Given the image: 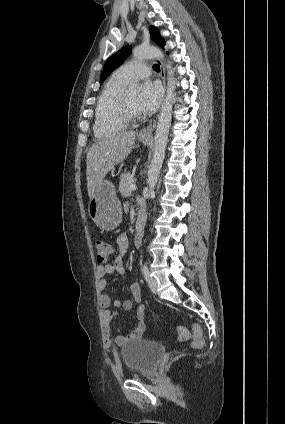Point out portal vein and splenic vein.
I'll return each mask as SVG.
<instances>
[{"instance_id": "portal-vein-and-splenic-vein-1", "label": "portal vein and splenic vein", "mask_w": 285, "mask_h": 424, "mask_svg": "<svg viewBox=\"0 0 285 424\" xmlns=\"http://www.w3.org/2000/svg\"><path fill=\"white\" fill-rule=\"evenodd\" d=\"M136 189H137V185H136V184H132V185L130 186V190L134 191V190H136Z\"/></svg>"}]
</instances>
